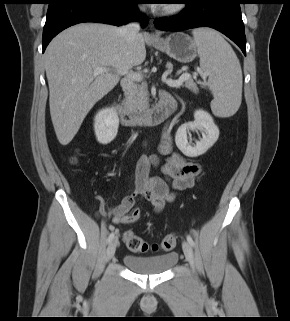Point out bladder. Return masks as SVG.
<instances>
[{
    "mask_svg": "<svg viewBox=\"0 0 290 321\" xmlns=\"http://www.w3.org/2000/svg\"><path fill=\"white\" fill-rule=\"evenodd\" d=\"M178 260L177 252H168L153 256L127 254L123 258L125 266L141 275H160L171 269Z\"/></svg>",
    "mask_w": 290,
    "mask_h": 321,
    "instance_id": "31cf9c89",
    "label": "bladder"
}]
</instances>
